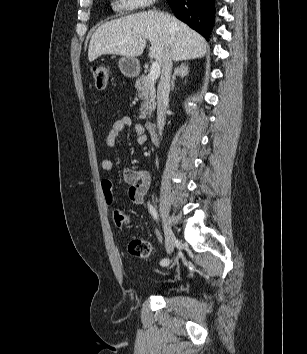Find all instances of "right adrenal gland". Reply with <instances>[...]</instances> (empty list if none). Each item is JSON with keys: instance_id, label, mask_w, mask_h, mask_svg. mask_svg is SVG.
Returning a JSON list of instances; mask_svg holds the SVG:
<instances>
[{"instance_id": "obj_1", "label": "right adrenal gland", "mask_w": 307, "mask_h": 354, "mask_svg": "<svg viewBox=\"0 0 307 354\" xmlns=\"http://www.w3.org/2000/svg\"><path fill=\"white\" fill-rule=\"evenodd\" d=\"M189 73V68L186 63H181V65L174 70V74L172 76V81H171V90L174 89L175 86V80L177 76L184 77L188 75Z\"/></svg>"}]
</instances>
